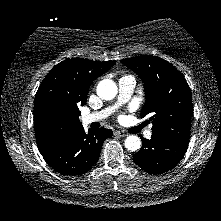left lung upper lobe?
Here are the masks:
<instances>
[{"mask_svg": "<svg viewBox=\"0 0 221 221\" xmlns=\"http://www.w3.org/2000/svg\"><path fill=\"white\" fill-rule=\"evenodd\" d=\"M142 79L146 101L141 116L150 114L154 135L189 143L192 98L182 74L166 60L142 55L121 60Z\"/></svg>", "mask_w": 221, "mask_h": 221, "instance_id": "1", "label": "left lung upper lobe"}]
</instances>
